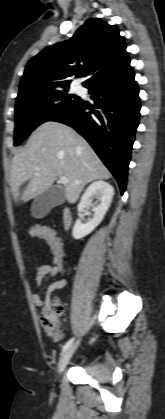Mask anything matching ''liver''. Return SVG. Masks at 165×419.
Segmentation results:
<instances>
[{
    "instance_id": "obj_1",
    "label": "liver",
    "mask_w": 165,
    "mask_h": 419,
    "mask_svg": "<svg viewBox=\"0 0 165 419\" xmlns=\"http://www.w3.org/2000/svg\"><path fill=\"white\" fill-rule=\"evenodd\" d=\"M109 170L89 143L71 127L49 121L30 136L26 148L11 165L10 186L16 203L27 202L49 189L60 177H67L65 198L74 203L83 187L109 179ZM28 182L22 193L21 186Z\"/></svg>"
}]
</instances>
